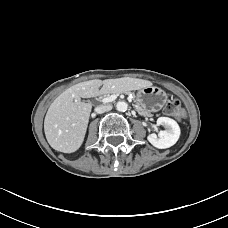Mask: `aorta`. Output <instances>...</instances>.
<instances>
[{"label": "aorta", "instance_id": "aorta-1", "mask_svg": "<svg viewBox=\"0 0 228 228\" xmlns=\"http://www.w3.org/2000/svg\"><path fill=\"white\" fill-rule=\"evenodd\" d=\"M128 108V104L125 101H119L116 103V109L120 112H125Z\"/></svg>", "mask_w": 228, "mask_h": 228}]
</instances>
